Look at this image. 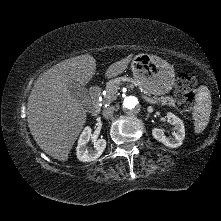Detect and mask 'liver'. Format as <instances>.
Returning <instances> with one entry per match:
<instances>
[{"instance_id":"1","label":"liver","mask_w":221,"mask_h":221,"mask_svg":"<svg viewBox=\"0 0 221 221\" xmlns=\"http://www.w3.org/2000/svg\"><path fill=\"white\" fill-rule=\"evenodd\" d=\"M130 54L106 70L105 77L120 75ZM96 72V60L85 54L66 59L48 69L35 82L27 102V122L38 146L49 156L67 161L87 119V110L70 93L68 83L84 86Z\"/></svg>"}]
</instances>
